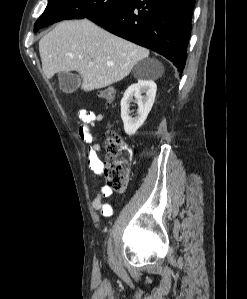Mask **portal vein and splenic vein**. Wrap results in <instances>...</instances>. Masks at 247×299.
Returning a JSON list of instances; mask_svg holds the SVG:
<instances>
[{
  "label": "portal vein and splenic vein",
  "mask_w": 247,
  "mask_h": 299,
  "mask_svg": "<svg viewBox=\"0 0 247 299\" xmlns=\"http://www.w3.org/2000/svg\"><path fill=\"white\" fill-rule=\"evenodd\" d=\"M89 65H93V63H92V62H90V63H89Z\"/></svg>",
  "instance_id": "portal-vein-and-splenic-vein-1"
}]
</instances>
